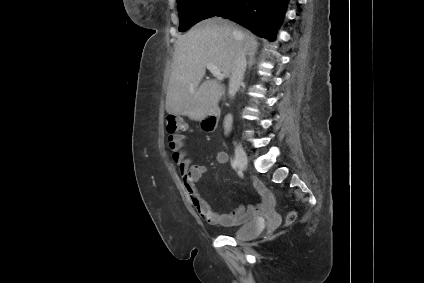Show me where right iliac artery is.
Returning a JSON list of instances; mask_svg holds the SVG:
<instances>
[{"label": "right iliac artery", "mask_w": 424, "mask_h": 283, "mask_svg": "<svg viewBox=\"0 0 424 283\" xmlns=\"http://www.w3.org/2000/svg\"><path fill=\"white\" fill-rule=\"evenodd\" d=\"M232 167H233V169H237V167H238V164H237V161H236V159H234L233 161H232Z\"/></svg>", "instance_id": "right-iliac-artery-1"}]
</instances>
